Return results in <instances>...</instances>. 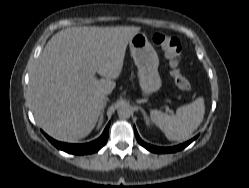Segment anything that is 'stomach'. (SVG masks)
<instances>
[{
	"mask_svg": "<svg viewBox=\"0 0 249 188\" xmlns=\"http://www.w3.org/2000/svg\"><path fill=\"white\" fill-rule=\"evenodd\" d=\"M130 52L138 68L139 85L144 95H149L161 87L158 73L159 58L146 34L138 32L129 41Z\"/></svg>",
	"mask_w": 249,
	"mask_h": 188,
	"instance_id": "obj_1",
	"label": "stomach"
}]
</instances>
